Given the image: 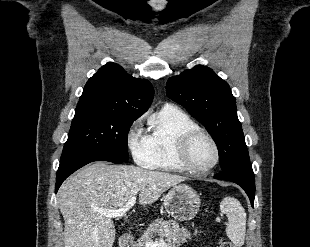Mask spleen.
I'll use <instances>...</instances> for the list:
<instances>
[{
	"mask_svg": "<svg viewBox=\"0 0 310 247\" xmlns=\"http://www.w3.org/2000/svg\"><path fill=\"white\" fill-rule=\"evenodd\" d=\"M221 211L226 214L228 223L226 234L235 247L244 244L246 232V213L240 202L230 196H226L220 204Z\"/></svg>",
	"mask_w": 310,
	"mask_h": 247,
	"instance_id": "obj_1",
	"label": "spleen"
}]
</instances>
